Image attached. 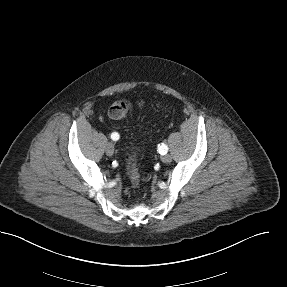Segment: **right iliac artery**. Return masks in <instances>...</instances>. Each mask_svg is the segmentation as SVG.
Masks as SVG:
<instances>
[{"mask_svg": "<svg viewBox=\"0 0 287 287\" xmlns=\"http://www.w3.org/2000/svg\"><path fill=\"white\" fill-rule=\"evenodd\" d=\"M111 139L117 141L119 139V134L117 132H113L111 134Z\"/></svg>", "mask_w": 287, "mask_h": 287, "instance_id": "82829eb1", "label": "right iliac artery"}]
</instances>
